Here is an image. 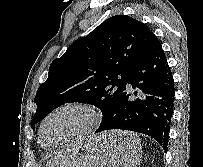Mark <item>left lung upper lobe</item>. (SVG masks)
Listing matches in <instances>:
<instances>
[{"label":"left lung upper lobe","instance_id":"5c2ea615","mask_svg":"<svg viewBox=\"0 0 203 167\" xmlns=\"http://www.w3.org/2000/svg\"><path fill=\"white\" fill-rule=\"evenodd\" d=\"M157 40L144 23L116 15L71 44L51 63L47 80L38 88L33 130L55 108L69 102L98 107L103 125L126 89L130 70Z\"/></svg>","mask_w":203,"mask_h":167}]
</instances>
